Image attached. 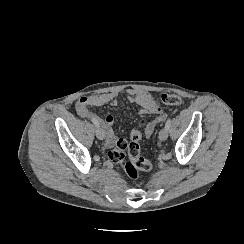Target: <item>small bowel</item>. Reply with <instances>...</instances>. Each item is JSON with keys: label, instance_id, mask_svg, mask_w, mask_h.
Wrapping results in <instances>:
<instances>
[{"label": "small bowel", "instance_id": "c3829d8e", "mask_svg": "<svg viewBox=\"0 0 244 244\" xmlns=\"http://www.w3.org/2000/svg\"><path fill=\"white\" fill-rule=\"evenodd\" d=\"M127 99L130 103L139 106V113L142 116H153L148 122L145 123L144 133L147 137H150L157 126L162 124L166 119V112L164 109L154 100L152 94L148 91L130 89L127 91ZM110 104L116 106L118 104V98L116 93H102L89 96H82L78 99L75 105L78 116L82 119L87 117H94L100 121V125L103 127L105 134V145L111 147L115 140L116 135L113 129L114 117L111 114L99 116L90 110V107H101L103 105Z\"/></svg>", "mask_w": 244, "mask_h": 244}]
</instances>
